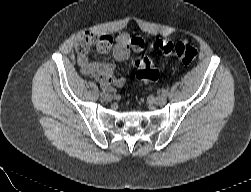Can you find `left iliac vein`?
<instances>
[{
  "label": "left iliac vein",
  "mask_w": 251,
  "mask_h": 192,
  "mask_svg": "<svg viewBox=\"0 0 251 192\" xmlns=\"http://www.w3.org/2000/svg\"><path fill=\"white\" fill-rule=\"evenodd\" d=\"M166 102H167V96L164 94L157 96L154 100V103L159 106L164 105Z\"/></svg>",
  "instance_id": "4c4485c4"
}]
</instances>
